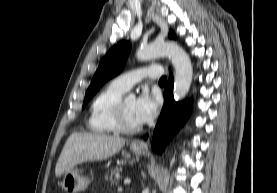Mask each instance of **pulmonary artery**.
Returning <instances> with one entry per match:
<instances>
[{
	"label": "pulmonary artery",
	"instance_id": "1",
	"mask_svg": "<svg viewBox=\"0 0 277 193\" xmlns=\"http://www.w3.org/2000/svg\"><path fill=\"white\" fill-rule=\"evenodd\" d=\"M162 73L163 70L160 66L152 65L121 74L113 80V83L124 91H128L142 79L146 77L156 79L159 78Z\"/></svg>",
	"mask_w": 277,
	"mask_h": 193
}]
</instances>
